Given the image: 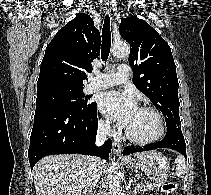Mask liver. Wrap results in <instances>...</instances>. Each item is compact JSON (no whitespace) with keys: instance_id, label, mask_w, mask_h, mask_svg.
Segmentation results:
<instances>
[{"instance_id":"obj_1","label":"liver","mask_w":211,"mask_h":195,"mask_svg":"<svg viewBox=\"0 0 211 195\" xmlns=\"http://www.w3.org/2000/svg\"><path fill=\"white\" fill-rule=\"evenodd\" d=\"M147 152L137 153L142 157ZM89 158L79 154L49 155L33 169L37 195H85L89 179ZM103 162L101 161V170Z\"/></svg>"}]
</instances>
